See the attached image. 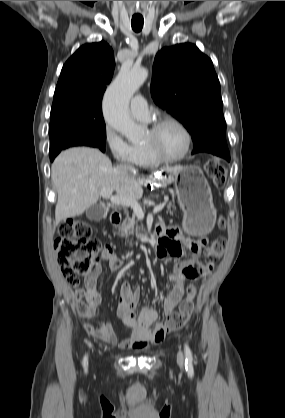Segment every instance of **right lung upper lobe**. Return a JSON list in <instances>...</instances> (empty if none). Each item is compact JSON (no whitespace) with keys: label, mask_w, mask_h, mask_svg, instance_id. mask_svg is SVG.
<instances>
[{"label":"right lung upper lobe","mask_w":285,"mask_h":418,"mask_svg":"<svg viewBox=\"0 0 285 418\" xmlns=\"http://www.w3.org/2000/svg\"><path fill=\"white\" fill-rule=\"evenodd\" d=\"M115 67L112 48L105 42L81 46L64 64L52 105L101 106Z\"/></svg>","instance_id":"obj_1"}]
</instances>
